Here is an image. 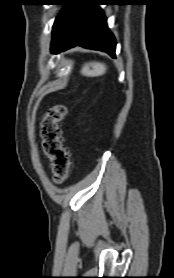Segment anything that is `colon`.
<instances>
[{"instance_id":"colon-1","label":"colon","mask_w":174,"mask_h":278,"mask_svg":"<svg viewBox=\"0 0 174 278\" xmlns=\"http://www.w3.org/2000/svg\"><path fill=\"white\" fill-rule=\"evenodd\" d=\"M66 115L67 107L64 104H56L48 110L41 123L43 151L57 183H62L67 178L71 164V153L65 146L61 127Z\"/></svg>"}]
</instances>
